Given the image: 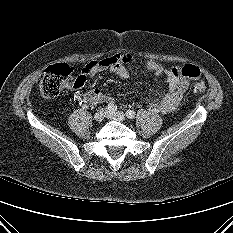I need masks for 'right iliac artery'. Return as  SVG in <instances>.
<instances>
[{
    "instance_id": "right-iliac-artery-1",
    "label": "right iliac artery",
    "mask_w": 233,
    "mask_h": 233,
    "mask_svg": "<svg viewBox=\"0 0 233 233\" xmlns=\"http://www.w3.org/2000/svg\"><path fill=\"white\" fill-rule=\"evenodd\" d=\"M107 111L110 113H114L117 110V106L114 104H108L106 107Z\"/></svg>"
}]
</instances>
